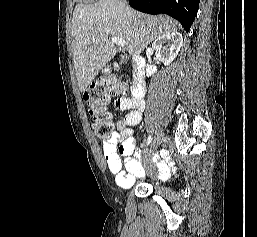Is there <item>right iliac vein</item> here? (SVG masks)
Returning <instances> with one entry per match:
<instances>
[{
	"label": "right iliac vein",
	"instance_id": "1",
	"mask_svg": "<svg viewBox=\"0 0 257 237\" xmlns=\"http://www.w3.org/2000/svg\"><path fill=\"white\" fill-rule=\"evenodd\" d=\"M162 141H163V134L161 132H158L151 144L149 153H151L152 151H155L160 146ZM148 160H149V155L146 156V161Z\"/></svg>",
	"mask_w": 257,
	"mask_h": 237
}]
</instances>
